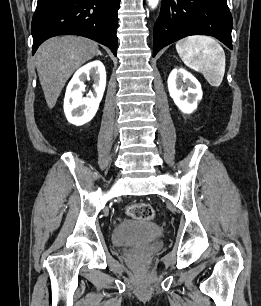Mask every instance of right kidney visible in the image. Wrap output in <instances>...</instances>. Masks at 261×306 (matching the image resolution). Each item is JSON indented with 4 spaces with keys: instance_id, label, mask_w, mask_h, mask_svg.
I'll use <instances>...</instances> for the list:
<instances>
[{
    "instance_id": "1",
    "label": "right kidney",
    "mask_w": 261,
    "mask_h": 306,
    "mask_svg": "<svg viewBox=\"0 0 261 306\" xmlns=\"http://www.w3.org/2000/svg\"><path fill=\"white\" fill-rule=\"evenodd\" d=\"M92 76L94 93L83 97L84 81ZM106 86V71L101 61H92L76 71L69 82L65 98L64 112L68 122L81 126L95 116Z\"/></svg>"
}]
</instances>
